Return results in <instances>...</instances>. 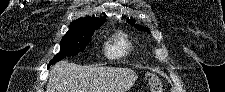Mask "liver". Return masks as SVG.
Here are the masks:
<instances>
[{
	"instance_id": "liver-1",
	"label": "liver",
	"mask_w": 225,
	"mask_h": 92,
	"mask_svg": "<svg viewBox=\"0 0 225 92\" xmlns=\"http://www.w3.org/2000/svg\"><path fill=\"white\" fill-rule=\"evenodd\" d=\"M137 78L131 69L61 61L51 67L46 92H128Z\"/></svg>"
}]
</instances>
